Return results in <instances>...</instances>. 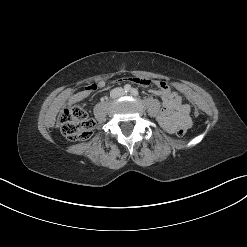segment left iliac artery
<instances>
[{"mask_svg":"<svg viewBox=\"0 0 247 247\" xmlns=\"http://www.w3.org/2000/svg\"><path fill=\"white\" fill-rule=\"evenodd\" d=\"M131 94H132L133 96H138V95H139L138 90L135 89V88L131 89Z\"/></svg>","mask_w":247,"mask_h":247,"instance_id":"obj_1","label":"left iliac artery"}]
</instances>
